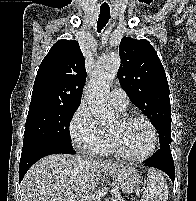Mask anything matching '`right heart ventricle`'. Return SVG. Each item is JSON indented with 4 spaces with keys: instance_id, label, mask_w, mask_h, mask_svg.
I'll return each instance as SVG.
<instances>
[{
    "instance_id": "e07e8e85",
    "label": "right heart ventricle",
    "mask_w": 196,
    "mask_h": 201,
    "mask_svg": "<svg viewBox=\"0 0 196 201\" xmlns=\"http://www.w3.org/2000/svg\"><path fill=\"white\" fill-rule=\"evenodd\" d=\"M113 152H114V149H113L112 143H111V141L109 139V142H108L107 146L100 153L103 154V155H109V154H112Z\"/></svg>"
}]
</instances>
